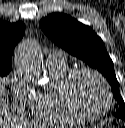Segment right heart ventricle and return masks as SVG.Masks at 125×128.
<instances>
[{
    "label": "right heart ventricle",
    "mask_w": 125,
    "mask_h": 128,
    "mask_svg": "<svg viewBox=\"0 0 125 128\" xmlns=\"http://www.w3.org/2000/svg\"><path fill=\"white\" fill-rule=\"evenodd\" d=\"M50 83L40 91H36L35 97L30 105L32 114L46 121L76 125L84 121L76 117L66 106L61 95V86L71 68L66 62L47 64Z\"/></svg>",
    "instance_id": "obj_1"
}]
</instances>
